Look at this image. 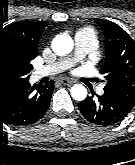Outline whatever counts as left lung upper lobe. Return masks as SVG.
<instances>
[{"instance_id": "left-lung-upper-lobe-1", "label": "left lung upper lobe", "mask_w": 135, "mask_h": 165, "mask_svg": "<svg viewBox=\"0 0 135 165\" xmlns=\"http://www.w3.org/2000/svg\"><path fill=\"white\" fill-rule=\"evenodd\" d=\"M105 37L106 61L104 91L116 95L129 106H135V43L130 35L112 21L95 19Z\"/></svg>"}]
</instances>
